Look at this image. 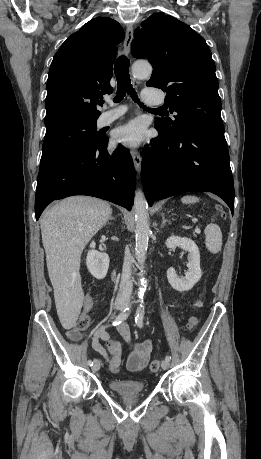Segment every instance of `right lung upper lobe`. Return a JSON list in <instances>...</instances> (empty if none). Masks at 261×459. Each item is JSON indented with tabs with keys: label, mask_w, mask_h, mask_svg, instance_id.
<instances>
[{
	"label": "right lung upper lobe",
	"mask_w": 261,
	"mask_h": 459,
	"mask_svg": "<svg viewBox=\"0 0 261 459\" xmlns=\"http://www.w3.org/2000/svg\"><path fill=\"white\" fill-rule=\"evenodd\" d=\"M124 39L110 18H95L72 34L55 54L47 80L45 126L67 120H96L102 94L112 92L110 79Z\"/></svg>",
	"instance_id": "obj_1"
}]
</instances>
